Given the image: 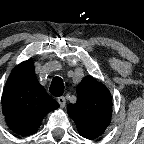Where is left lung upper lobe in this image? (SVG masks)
Segmentation results:
<instances>
[{"instance_id": "obj_1", "label": "left lung upper lobe", "mask_w": 144, "mask_h": 144, "mask_svg": "<svg viewBox=\"0 0 144 144\" xmlns=\"http://www.w3.org/2000/svg\"><path fill=\"white\" fill-rule=\"evenodd\" d=\"M67 111L78 132L87 139L104 133L111 122L112 97L109 90L91 76L77 87V102L68 104Z\"/></svg>"}]
</instances>
